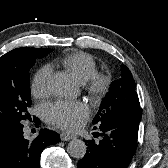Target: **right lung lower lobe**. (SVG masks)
I'll return each mask as SVG.
<instances>
[{
    "label": "right lung lower lobe",
    "instance_id": "right-lung-lower-lobe-1",
    "mask_svg": "<svg viewBox=\"0 0 168 168\" xmlns=\"http://www.w3.org/2000/svg\"><path fill=\"white\" fill-rule=\"evenodd\" d=\"M36 124L40 120L36 118ZM60 136L42 129L39 135L28 141L23 137V125L12 124L0 128V168H39L42 151L56 144Z\"/></svg>",
    "mask_w": 168,
    "mask_h": 168
}]
</instances>
